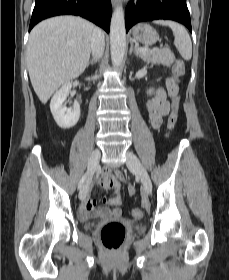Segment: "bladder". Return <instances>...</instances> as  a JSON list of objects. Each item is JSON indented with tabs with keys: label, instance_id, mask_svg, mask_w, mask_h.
Segmentation results:
<instances>
[{
	"label": "bladder",
	"instance_id": "bladder-1",
	"mask_svg": "<svg viewBox=\"0 0 229 280\" xmlns=\"http://www.w3.org/2000/svg\"><path fill=\"white\" fill-rule=\"evenodd\" d=\"M94 226V222L92 220H87L85 223V227L87 229H91ZM133 231L137 233H141L145 231V226L144 225H134L133 226Z\"/></svg>",
	"mask_w": 229,
	"mask_h": 280
}]
</instances>
